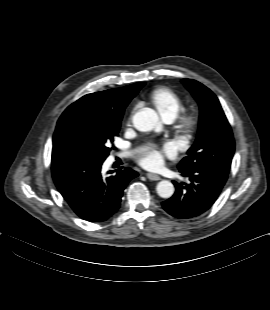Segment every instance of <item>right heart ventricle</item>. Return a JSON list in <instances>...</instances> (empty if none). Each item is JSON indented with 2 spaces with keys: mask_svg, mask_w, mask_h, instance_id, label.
<instances>
[{
  "mask_svg": "<svg viewBox=\"0 0 270 310\" xmlns=\"http://www.w3.org/2000/svg\"><path fill=\"white\" fill-rule=\"evenodd\" d=\"M150 101L165 120L172 121L183 108L181 98L171 89L159 87L150 94Z\"/></svg>",
  "mask_w": 270,
  "mask_h": 310,
  "instance_id": "right-heart-ventricle-1",
  "label": "right heart ventricle"
}]
</instances>
